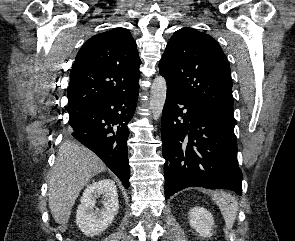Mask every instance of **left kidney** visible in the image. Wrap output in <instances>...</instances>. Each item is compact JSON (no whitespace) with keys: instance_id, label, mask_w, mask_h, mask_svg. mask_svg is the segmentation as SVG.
<instances>
[{"instance_id":"5707ae66","label":"left kidney","mask_w":295,"mask_h":241,"mask_svg":"<svg viewBox=\"0 0 295 241\" xmlns=\"http://www.w3.org/2000/svg\"><path fill=\"white\" fill-rule=\"evenodd\" d=\"M190 226L202 237H210L214 226L212 214L203 207L195 206L189 212Z\"/></svg>"}]
</instances>
